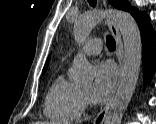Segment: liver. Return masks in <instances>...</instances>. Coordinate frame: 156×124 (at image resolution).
I'll use <instances>...</instances> for the list:
<instances>
[{
	"label": "liver",
	"mask_w": 156,
	"mask_h": 124,
	"mask_svg": "<svg viewBox=\"0 0 156 124\" xmlns=\"http://www.w3.org/2000/svg\"><path fill=\"white\" fill-rule=\"evenodd\" d=\"M33 124H52V123L38 121V122H34Z\"/></svg>",
	"instance_id": "liver-1"
}]
</instances>
